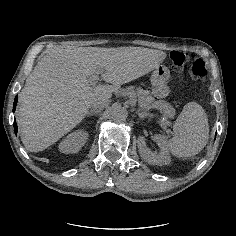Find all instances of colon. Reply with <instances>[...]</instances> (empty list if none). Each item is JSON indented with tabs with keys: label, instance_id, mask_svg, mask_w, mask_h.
I'll return each mask as SVG.
<instances>
[{
	"label": "colon",
	"instance_id": "5ec220e1",
	"mask_svg": "<svg viewBox=\"0 0 236 236\" xmlns=\"http://www.w3.org/2000/svg\"><path fill=\"white\" fill-rule=\"evenodd\" d=\"M169 60L175 70L184 68L190 63V78L201 80L207 75L205 61L197 56L191 57L190 53L182 50H174L169 55Z\"/></svg>",
	"mask_w": 236,
	"mask_h": 236
}]
</instances>
